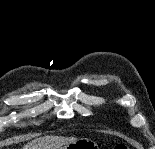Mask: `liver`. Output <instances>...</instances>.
I'll use <instances>...</instances> for the list:
<instances>
[{
	"mask_svg": "<svg viewBox=\"0 0 155 149\" xmlns=\"http://www.w3.org/2000/svg\"><path fill=\"white\" fill-rule=\"evenodd\" d=\"M75 141L77 139L74 137L45 136L30 141L24 145L23 149H60Z\"/></svg>",
	"mask_w": 155,
	"mask_h": 149,
	"instance_id": "liver-1",
	"label": "liver"
}]
</instances>
